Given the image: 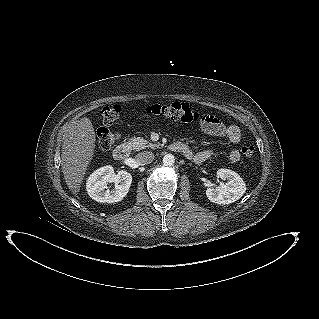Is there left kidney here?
I'll return each instance as SVG.
<instances>
[{"label": "left kidney", "instance_id": "1", "mask_svg": "<svg viewBox=\"0 0 319 319\" xmlns=\"http://www.w3.org/2000/svg\"><path fill=\"white\" fill-rule=\"evenodd\" d=\"M217 178L227 181L221 182L218 187H210L206 190V195L210 201L216 204H230L239 200L246 192V185L242 178L229 169H219Z\"/></svg>", "mask_w": 319, "mask_h": 319}]
</instances>
